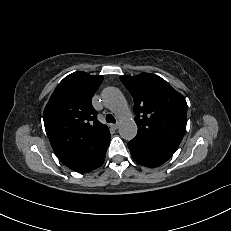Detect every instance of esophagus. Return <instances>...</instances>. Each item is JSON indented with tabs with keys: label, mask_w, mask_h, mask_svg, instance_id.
<instances>
[{
	"label": "esophagus",
	"mask_w": 231,
	"mask_h": 231,
	"mask_svg": "<svg viewBox=\"0 0 231 231\" xmlns=\"http://www.w3.org/2000/svg\"><path fill=\"white\" fill-rule=\"evenodd\" d=\"M118 127H119V124L118 123H116V124H111V128H113V129H118Z\"/></svg>",
	"instance_id": "34e87169"
}]
</instances>
